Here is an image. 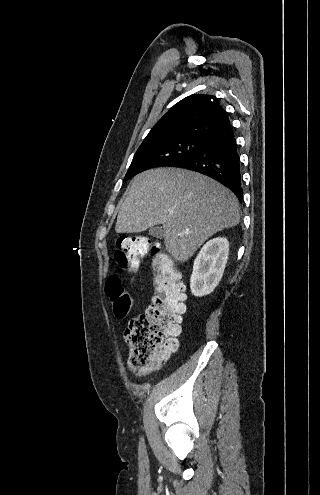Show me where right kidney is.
Wrapping results in <instances>:
<instances>
[{"mask_svg":"<svg viewBox=\"0 0 320 495\" xmlns=\"http://www.w3.org/2000/svg\"><path fill=\"white\" fill-rule=\"evenodd\" d=\"M228 254L229 242L223 237L211 239L201 248L190 279L194 296L203 297L214 291L223 276Z\"/></svg>","mask_w":320,"mask_h":495,"instance_id":"obj_1","label":"right kidney"}]
</instances>
